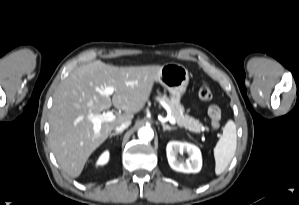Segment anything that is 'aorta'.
Segmentation results:
<instances>
[{"mask_svg":"<svg viewBox=\"0 0 299 205\" xmlns=\"http://www.w3.org/2000/svg\"><path fill=\"white\" fill-rule=\"evenodd\" d=\"M138 137L143 141H150L154 137V132L150 127H142L138 131Z\"/></svg>","mask_w":299,"mask_h":205,"instance_id":"obj_1","label":"aorta"}]
</instances>
